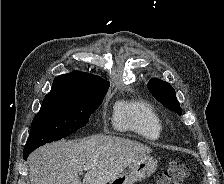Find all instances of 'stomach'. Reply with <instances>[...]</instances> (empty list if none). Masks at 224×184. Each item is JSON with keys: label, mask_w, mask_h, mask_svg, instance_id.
<instances>
[{"label": "stomach", "mask_w": 224, "mask_h": 184, "mask_svg": "<svg viewBox=\"0 0 224 184\" xmlns=\"http://www.w3.org/2000/svg\"><path fill=\"white\" fill-rule=\"evenodd\" d=\"M158 162L152 157H144L131 163L127 170L109 184H134L149 177L157 169Z\"/></svg>", "instance_id": "stomach-1"}]
</instances>
